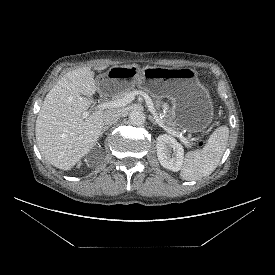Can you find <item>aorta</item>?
I'll return each mask as SVG.
<instances>
[{"label":"aorta","mask_w":275,"mask_h":275,"mask_svg":"<svg viewBox=\"0 0 275 275\" xmlns=\"http://www.w3.org/2000/svg\"><path fill=\"white\" fill-rule=\"evenodd\" d=\"M129 121L132 125L140 126L143 125L146 121L145 114L140 110H132L129 113Z\"/></svg>","instance_id":"obj_1"}]
</instances>
